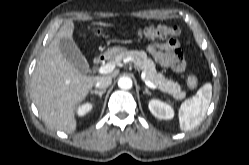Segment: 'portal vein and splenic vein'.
Masks as SVG:
<instances>
[{
	"label": "portal vein and splenic vein",
	"instance_id": "portal-vein-and-splenic-vein-1",
	"mask_svg": "<svg viewBox=\"0 0 249 165\" xmlns=\"http://www.w3.org/2000/svg\"><path fill=\"white\" fill-rule=\"evenodd\" d=\"M115 69V64L114 63H108L106 65H103L101 66L99 69H98V72L100 74H108V73H111L113 70ZM145 81V84L149 87V88H152V89H157V86L152 83L151 81L147 80L146 78L144 79Z\"/></svg>",
	"mask_w": 249,
	"mask_h": 165
}]
</instances>
